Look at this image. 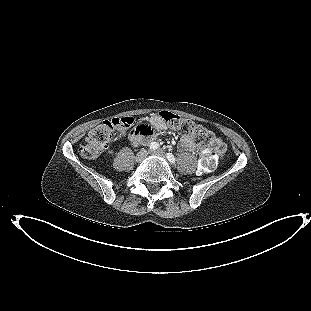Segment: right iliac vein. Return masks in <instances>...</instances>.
<instances>
[{
  "instance_id": "right-iliac-vein-1",
  "label": "right iliac vein",
  "mask_w": 311,
  "mask_h": 311,
  "mask_svg": "<svg viewBox=\"0 0 311 311\" xmlns=\"http://www.w3.org/2000/svg\"><path fill=\"white\" fill-rule=\"evenodd\" d=\"M147 150L146 149H142L140 152L137 153L136 157H135V161L136 162H141L144 160V158L147 156Z\"/></svg>"
}]
</instances>
